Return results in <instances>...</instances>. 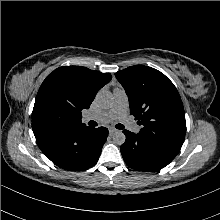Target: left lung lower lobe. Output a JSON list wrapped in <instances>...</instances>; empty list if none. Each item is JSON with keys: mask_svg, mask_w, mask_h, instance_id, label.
<instances>
[{"mask_svg": "<svg viewBox=\"0 0 220 220\" xmlns=\"http://www.w3.org/2000/svg\"><path fill=\"white\" fill-rule=\"evenodd\" d=\"M126 141L121 145L125 163L139 171H157L167 166L177 154L128 130Z\"/></svg>", "mask_w": 220, "mask_h": 220, "instance_id": "1", "label": "left lung lower lobe"}]
</instances>
